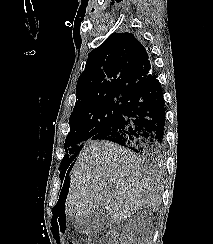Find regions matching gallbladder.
Returning <instances> with one entry per match:
<instances>
[{"label": "gallbladder", "mask_w": 213, "mask_h": 244, "mask_svg": "<svg viewBox=\"0 0 213 244\" xmlns=\"http://www.w3.org/2000/svg\"><path fill=\"white\" fill-rule=\"evenodd\" d=\"M113 223V220L106 213L103 206H100L94 213L76 218L73 226L81 234H95L104 231Z\"/></svg>", "instance_id": "1"}]
</instances>
